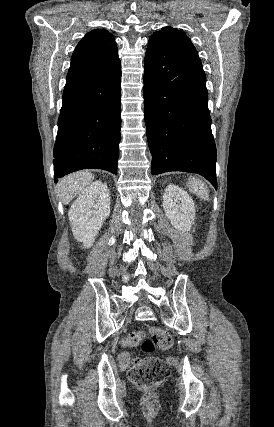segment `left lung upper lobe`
Wrapping results in <instances>:
<instances>
[{"label":"left lung upper lobe","instance_id":"5c2ea615","mask_svg":"<svg viewBox=\"0 0 274 427\" xmlns=\"http://www.w3.org/2000/svg\"><path fill=\"white\" fill-rule=\"evenodd\" d=\"M151 38L165 39L172 42L173 44H176L183 50L198 56V53L192 42L185 35V33L182 32V30L173 29L172 27H165L162 30L155 32Z\"/></svg>","mask_w":274,"mask_h":427}]
</instances>
